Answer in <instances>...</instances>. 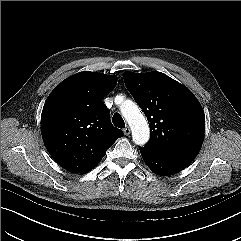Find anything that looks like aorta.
<instances>
[{"mask_svg":"<svg viewBox=\"0 0 241 241\" xmlns=\"http://www.w3.org/2000/svg\"><path fill=\"white\" fill-rule=\"evenodd\" d=\"M120 109L131 128L134 143L140 146L145 145L150 138V129L140 108L134 102L127 100L122 103Z\"/></svg>","mask_w":241,"mask_h":241,"instance_id":"aorta-1","label":"aorta"}]
</instances>
